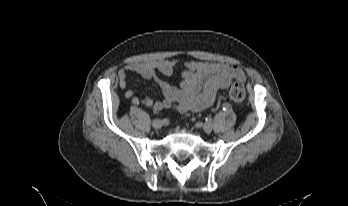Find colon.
Here are the masks:
<instances>
[{"instance_id":"1","label":"colon","mask_w":348,"mask_h":206,"mask_svg":"<svg viewBox=\"0 0 348 206\" xmlns=\"http://www.w3.org/2000/svg\"><path fill=\"white\" fill-rule=\"evenodd\" d=\"M245 88L244 85L240 82H236L231 85L229 89V97L235 103H242L245 99Z\"/></svg>"}]
</instances>
